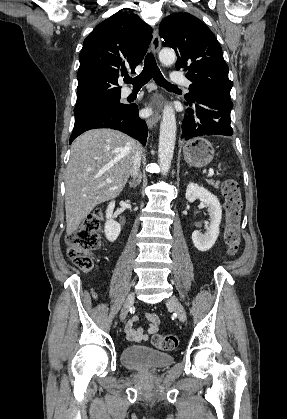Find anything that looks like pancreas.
Returning <instances> with one entry per match:
<instances>
[{"label": "pancreas", "instance_id": "obj_1", "mask_svg": "<svg viewBox=\"0 0 287 419\" xmlns=\"http://www.w3.org/2000/svg\"><path fill=\"white\" fill-rule=\"evenodd\" d=\"M207 182L215 188H219V182H215L214 180H207Z\"/></svg>", "mask_w": 287, "mask_h": 419}]
</instances>
